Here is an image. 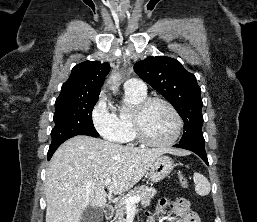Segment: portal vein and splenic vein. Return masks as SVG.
<instances>
[{
  "instance_id": "portal-vein-and-splenic-vein-1",
  "label": "portal vein and splenic vein",
  "mask_w": 257,
  "mask_h": 222,
  "mask_svg": "<svg viewBox=\"0 0 257 222\" xmlns=\"http://www.w3.org/2000/svg\"><path fill=\"white\" fill-rule=\"evenodd\" d=\"M111 182V179L110 178H107L104 183L105 185H108L110 184ZM140 197L139 196H133V197H129L125 200V204H126V207L127 208H132V207H135V204L138 203L140 201Z\"/></svg>"
}]
</instances>
